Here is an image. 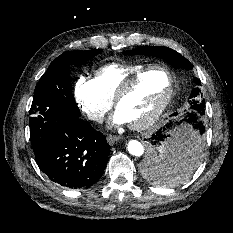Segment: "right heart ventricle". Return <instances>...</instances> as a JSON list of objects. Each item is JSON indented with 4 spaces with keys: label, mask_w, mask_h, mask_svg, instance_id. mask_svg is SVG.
<instances>
[{
    "label": "right heart ventricle",
    "mask_w": 233,
    "mask_h": 233,
    "mask_svg": "<svg viewBox=\"0 0 233 233\" xmlns=\"http://www.w3.org/2000/svg\"><path fill=\"white\" fill-rule=\"evenodd\" d=\"M145 67L146 64L104 65L95 71L94 80L101 94L111 102L122 83Z\"/></svg>",
    "instance_id": "1"
}]
</instances>
